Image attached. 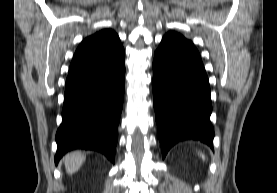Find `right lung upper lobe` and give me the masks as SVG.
Returning <instances> with one entry per match:
<instances>
[{
	"instance_id": "cb5924a9",
	"label": "right lung upper lobe",
	"mask_w": 277,
	"mask_h": 193,
	"mask_svg": "<svg viewBox=\"0 0 277 193\" xmlns=\"http://www.w3.org/2000/svg\"><path fill=\"white\" fill-rule=\"evenodd\" d=\"M121 49L123 46L113 30H101L81 42L73 56L69 71L97 65Z\"/></svg>"
}]
</instances>
